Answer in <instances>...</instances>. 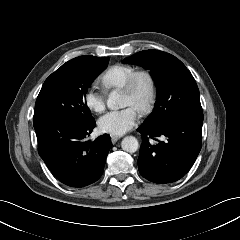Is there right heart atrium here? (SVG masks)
<instances>
[{
  "label": "right heart atrium",
  "mask_w": 240,
  "mask_h": 240,
  "mask_svg": "<svg viewBox=\"0 0 240 240\" xmlns=\"http://www.w3.org/2000/svg\"><path fill=\"white\" fill-rule=\"evenodd\" d=\"M84 102L91 111L99 113L105 108V95L102 91L92 88L85 93Z\"/></svg>",
  "instance_id": "right-heart-atrium-1"
}]
</instances>
